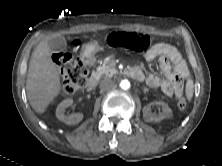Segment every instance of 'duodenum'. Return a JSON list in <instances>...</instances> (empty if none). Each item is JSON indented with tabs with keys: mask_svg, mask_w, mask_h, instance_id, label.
I'll use <instances>...</instances> for the list:
<instances>
[{
	"mask_svg": "<svg viewBox=\"0 0 222 166\" xmlns=\"http://www.w3.org/2000/svg\"><path fill=\"white\" fill-rule=\"evenodd\" d=\"M83 62L88 65V66H91L93 64V59L90 57V56H84L83 58ZM127 74L136 79V80H142L143 79V74L136 70V69H130L127 71ZM98 83V75L97 74H94L92 76H90L86 82V88L88 90H93L96 85Z\"/></svg>",
	"mask_w": 222,
	"mask_h": 166,
	"instance_id": "obj_1",
	"label": "duodenum"
}]
</instances>
